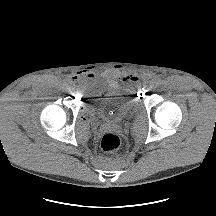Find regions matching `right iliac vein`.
Instances as JSON below:
<instances>
[{
    "label": "right iliac vein",
    "instance_id": "63e3f726",
    "mask_svg": "<svg viewBox=\"0 0 216 216\" xmlns=\"http://www.w3.org/2000/svg\"><path fill=\"white\" fill-rule=\"evenodd\" d=\"M76 91H77V88H76V87H73V89H72L71 92L74 94Z\"/></svg>",
    "mask_w": 216,
    "mask_h": 216
}]
</instances>
